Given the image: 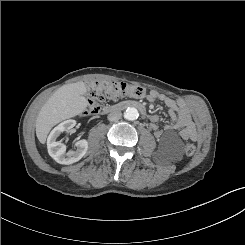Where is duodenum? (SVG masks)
Segmentation results:
<instances>
[{"label": "duodenum", "instance_id": "410a0bca", "mask_svg": "<svg viewBox=\"0 0 245 245\" xmlns=\"http://www.w3.org/2000/svg\"><path fill=\"white\" fill-rule=\"evenodd\" d=\"M127 108H136L142 113L144 117L151 118V115L148 114L145 106L136 101H126V102H121L115 105H107L103 107L102 111L104 113H109V112H113L117 110H124Z\"/></svg>", "mask_w": 245, "mask_h": 245}]
</instances>
